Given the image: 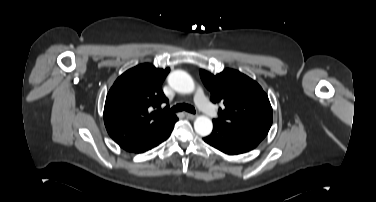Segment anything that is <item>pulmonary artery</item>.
<instances>
[{"mask_svg":"<svg viewBox=\"0 0 376 202\" xmlns=\"http://www.w3.org/2000/svg\"><path fill=\"white\" fill-rule=\"evenodd\" d=\"M195 102L197 106L209 117H215L216 116V111L213 108V106L210 104L208 99L206 98L203 90L201 87L196 88L195 92Z\"/></svg>","mask_w":376,"mask_h":202,"instance_id":"1","label":"pulmonary artery"}]
</instances>
